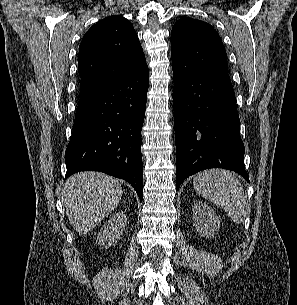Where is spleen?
Instances as JSON below:
<instances>
[{
    "instance_id": "1",
    "label": "spleen",
    "mask_w": 297,
    "mask_h": 305,
    "mask_svg": "<svg viewBox=\"0 0 297 305\" xmlns=\"http://www.w3.org/2000/svg\"><path fill=\"white\" fill-rule=\"evenodd\" d=\"M193 186L199 195L223 208L235 223L242 222L246 198L234 174L222 169L207 170L197 174Z\"/></svg>"
}]
</instances>
